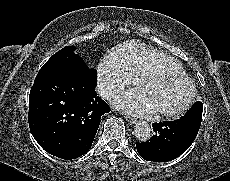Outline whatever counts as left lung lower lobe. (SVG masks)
Segmentation results:
<instances>
[{
  "label": "left lung lower lobe",
  "mask_w": 230,
  "mask_h": 181,
  "mask_svg": "<svg viewBox=\"0 0 230 181\" xmlns=\"http://www.w3.org/2000/svg\"><path fill=\"white\" fill-rule=\"evenodd\" d=\"M202 112L203 104L195 102L180 119L153 123V137L147 142L136 143L140 156L154 162H168L180 156L195 140L201 125Z\"/></svg>",
  "instance_id": "left-lung-lower-lobe-1"
}]
</instances>
